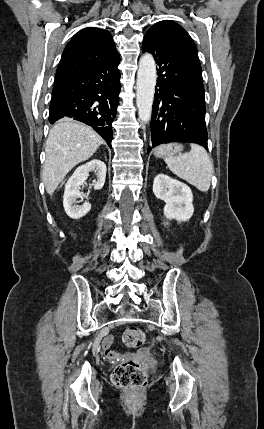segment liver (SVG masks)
Returning a JSON list of instances; mask_svg holds the SVG:
<instances>
[{
  "mask_svg": "<svg viewBox=\"0 0 264 429\" xmlns=\"http://www.w3.org/2000/svg\"><path fill=\"white\" fill-rule=\"evenodd\" d=\"M103 144V139L89 126L64 118L56 123L46 141L42 181L52 195L67 173L89 159Z\"/></svg>",
  "mask_w": 264,
  "mask_h": 429,
  "instance_id": "1",
  "label": "liver"
}]
</instances>
